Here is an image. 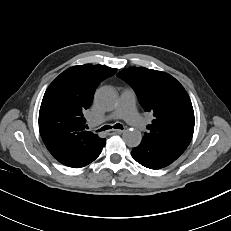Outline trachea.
Masks as SVG:
<instances>
[{
    "instance_id": "obj_1",
    "label": "trachea",
    "mask_w": 231,
    "mask_h": 231,
    "mask_svg": "<svg viewBox=\"0 0 231 231\" xmlns=\"http://www.w3.org/2000/svg\"><path fill=\"white\" fill-rule=\"evenodd\" d=\"M113 127H114L115 129H123V126H122L121 124H119V123L115 124ZM111 128H112V126H110V125H105V126L101 127L100 129H98L97 131H98V132H100V131H105V130H108V129H111Z\"/></svg>"
}]
</instances>
